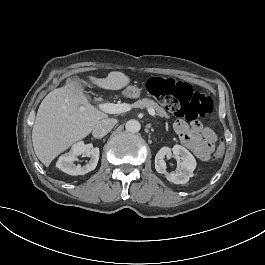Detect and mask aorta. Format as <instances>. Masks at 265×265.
I'll use <instances>...</instances> for the list:
<instances>
[{
  "mask_svg": "<svg viewBox=\"0 0 265 265\" xmlns=\"http://www.w3.org/2000/svg\"><path fill=\"white\" fill-rule=\"evenodd\" d=\"M140 128H141V125L139 121L135 119H131L127 121L125 124L126 131L130 133H136L140 130Z\"/></svg>",
  "mask_w": 265,
  "mask_h": 265,
  "instance_id": "762f6f07",
  "label": "aorta"
}]
</instances>
